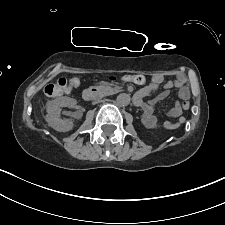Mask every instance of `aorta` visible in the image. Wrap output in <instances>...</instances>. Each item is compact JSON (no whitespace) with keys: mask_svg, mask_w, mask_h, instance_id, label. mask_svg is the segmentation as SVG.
<instances>
[{"mask_svg":"<svg viewBox=\"0 0 225 225\" xmlns=\"http://www.w3.org/2000/svg\"><path fill=\"white\" fill-rule=\"evenodd\" d=\"M130 100V95L126 93H121L116 98V102L119 106H127L130 103Z\"/></svg>","mask_w":225,"mask_h":225,"instance_id":"1","label":"aorta"}]
</instances>
